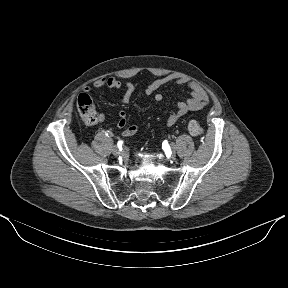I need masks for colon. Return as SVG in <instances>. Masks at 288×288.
I'll return each instance as SVG.
<instances>
[{
    "label": "colon",
    "instance_id": "1",
    "mask_svg": "<svg viewBox=\"0 0 288 288\" xmlns=\"http://www.w3.org/2000/svg\"><path fill=\"white\" fill-rule=\"evenodd\" d=\"M77 109L82 119L88 124L100 122V115L96 111L92 98L88 94H81L77 100ZM188 131L193 136H201L204 129L194 119L190 120L187 125Z\"/></svg>",
    "mask_w": 288,
    "mask_h": 288
}]
</instances>
